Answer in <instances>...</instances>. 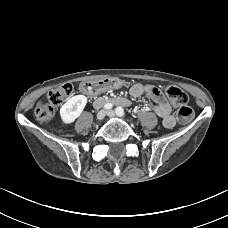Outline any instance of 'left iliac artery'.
Returning a JSON list of instances; mask_svg holds the SVG:
<instances>
[{"mask_svg":"<svg viewBox=\"0 0 228 228\" xmlns=\"http://www.w3.org/2000/svg\"><path fill=\"white\" fill-rule=\"evenodd\" d=\"M115 112L120 117H123L125 115L124 109L122 107H117Z\"/></svg>","mask_w":228,"mask_h":228,"instance_id":"1","label":"left iliac artery"}]
</instances>
